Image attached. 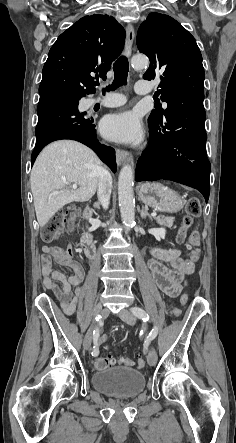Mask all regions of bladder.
<instances>
[{
    "label": "bladder",
    "mask_w": 236,
    "mask_h": 443,
    "mask_svg": "<svg viewBox=\"0 0 236 443\" xmlns=\"http://www.w3.org/2000/svg\"><path fill=\"white\" fill-rule=\"evenodd\" d=\"M93 387L113 398H134L146 385L145 376L130 367L101 369L92 376Z\"/></svg>",
    "instance_id": "1"
}]
</instances>
